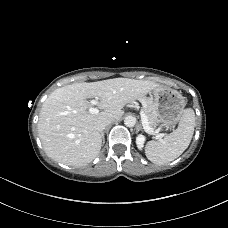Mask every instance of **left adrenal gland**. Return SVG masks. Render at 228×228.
<instances>
[{"label": "left adrenal gland", "instance_id": "left-adrenal-gland-1", "mask_svg": "<svg viewBox=\"0 0 228 228\" xmlns=\"http://www.w3.org/2000/svg\"><path fill=\"white\" fill-rule=\"evenodd\" d=\"M139 130H142V126H141V124H139V125H138V127H137V131H136V132H138Z\"/></svg>", "mask_w": 228, "mask_h": 228}]
</instances>
